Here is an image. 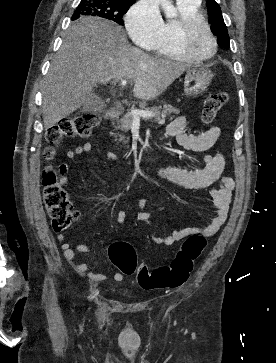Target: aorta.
Listing matches in <instances>:
<instances>
[{
    "mask_svg": "<svg viewBox=\"0 0 276 363\" xmlns=\"http://www.w3.org/2000/svg\"><path fill=\"white\" fill-rule=\"evenodd\" d=\"M162 9L167 18L172 19L177 17V10L173 6L171 0H160Z\"/></svg>",
    "mask_w": 276,
    "mask_h": 363,
    "instance_id": "1",
    "label": "aorta"
}]
</instances>
